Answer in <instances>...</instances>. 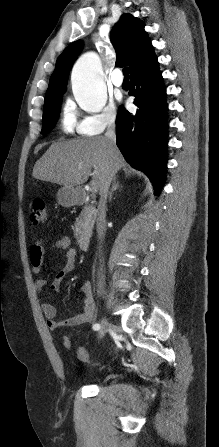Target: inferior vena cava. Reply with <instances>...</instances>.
<instances>
[{
	"label": "inferior vena cava",
	"instance_id": "1",
	"mask_svg": "<svg viewBox=\"0 0 219 447\" xmlns=\"http://www.w3.org/2000/svg\"><path fill=\"white\" fill-rule=\"evenodd\" d=\"M105 138L108 142V147L110 153L113 152L116 144V134H115V125L113 123L109 124L108 129L105 133ZM116 173V169L114 166L111 167L109 172L107 173L105 179L103 180L102 186L100 188V201H99V215L97 218V233L98 238L102 241L106 233V200L108 196L109 187L111 181L114 179ZM102 262V260H100ZM103 264L100 265V268L97 272L99 283L98 286L102 289L104 284L105 276H104Z\"/></svg>",
	"mask_w": 219,
	"mask_h": 447
}]
</instances>
